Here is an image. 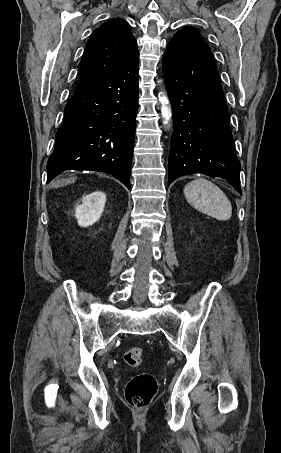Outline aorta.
<instances>
[{
	"label": "aorta",
	"instance_id": "aorta-1",
	"mask_svg": "<svg viewBox=\"0 0 281 453\" xmlns=\"http://www.w3.org/2000/svg\"><path fill=\"white\" fill-rule=\"evenodd\" d=\"M159 101L161 103V115L163 118V123L168 124L172 117V111L169 108V99L166 95L162 94V92L159 94Z\"/></svg>",
	"mask_w": 281,
	"mask_h": 453
}]
</instances>
